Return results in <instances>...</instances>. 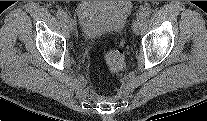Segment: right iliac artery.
Masks as SVG:
<instances>
[{
    "label": "right iliac artery",
    "instance_id": "obj_1",
    "mask_svg": "<svg viewBox=\"0 0 207 121\" xmlns=\"http://www.w3.org/2000/svg\"><path fill=\"white\" fill-rule=\"evenodd\" d=\"M66 16H67V15H66V12H65V11H63V10H58V11H57V17H58L59 19H64Z\"/></svg>",
    "mask_w": 207,
    "mask_h": 121
}]
</instances>
